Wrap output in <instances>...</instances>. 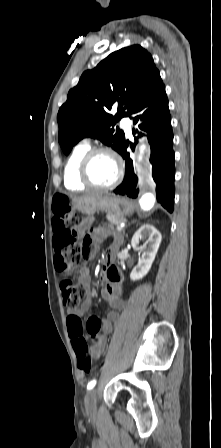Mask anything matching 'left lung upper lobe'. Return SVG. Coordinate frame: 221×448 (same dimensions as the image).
<instances>
[{"label": "left lung upper lobe", "mask_w": 221, "mask_h": 448, "mask_svg": "<svg viewBox=\"0 0 221 448\" xmlns=\"http://www.w3.org/2000/svg\"><path fill=\"white\" fill-rule=\"evenodd\" d=\"M164 84L152 56L140 45L108 55L94 69L85 71L59 109L58 140L65 154L84 137H93L120 153L124 133L114 129L122 118L137 113ZM112 106L117 113L110 114Z\"/></svg>", "instance_id": "1"}]
</instances>
